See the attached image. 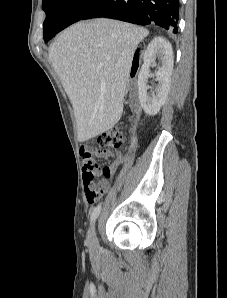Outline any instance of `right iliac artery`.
<instances>
[{
    "label": "right iliac artery",
    "instance_id": "right-iliac-artery-1",
    "mask_svg": "<svg viewBox=\"0 0 227 298\" xmlns=\"http://www.w3.org/2000/svg\"><path fill=\"white\" fill-rule=\"evenodd\" d=\"M101 210V206L98 205L97 207L94 208L92 214H91V222H94L96 218L99 216Z\"/></svg>",
    "mask_w": 227,
    "mask_h": 298
}]
</instances>
